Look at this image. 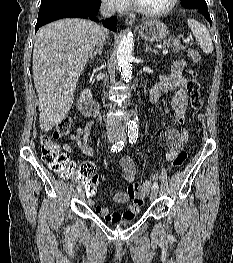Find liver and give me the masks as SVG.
Listing matches in <instances>:
<instances>
[{
    "instance_id": "obj_1",
    "label": "liver",
    "mask_w": 233,
    "mask_h": 263,
    "mask_svg": "<svg viewBox=\"0 0 233 263\" xmlns=\"http://www.w3.org/2000/svg\"><path fill=\"white\" fill-rule=\"evenodd\" d=\"M101 37V27L85 19H61L41 27L33 49V78L43 131L69 112L80 74Z\"/></svg>"
}]
</instances>
